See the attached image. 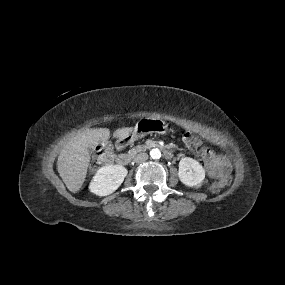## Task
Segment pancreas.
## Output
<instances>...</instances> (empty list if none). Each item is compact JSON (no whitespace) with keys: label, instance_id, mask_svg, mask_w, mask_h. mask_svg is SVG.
<instances>
[{"label":"pancreas","instance_id":"1","mask_svg":"<svg viewBox=\"0 0 285 285\" xmlns=\"http://www.w3.org/2000/svg\"><path fill=\"white\" fill-rule=\"evenodd\" d=\"M145 148H146V146H137V150H143Z\"/></svg>","mask_w":285,"mask_h":285}]
</instances>
